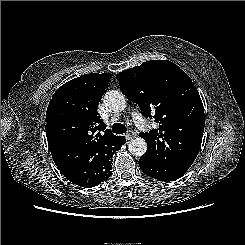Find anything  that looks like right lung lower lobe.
Masks as SVG:
<instances>
[{
	"mask_svg": "<svg viewBox=\"0 0 245 245\" xmlns=\"http://www.w3.org/2000/svg\"><path fill=\"white\" fill-rule=\"evenodd\" d=\"M125 139L122 137L121 140L114 143L110 146L100 147L95 150L94 157L92 160L91 167L97 172L98 175V181L96 183L97 186L101 182L105 181L111 176L112 173V155L114 151H118L123 144H125ZM60 170V172L71 182L74 184H77L79 186H82L81 179L79 177V173L77 169H75L73 166H57ZM93 187V186H90ZM89 187V188H90Z\"/></svg>",
	"mask_w": 245,
	"mask_h": 245,
	"instance_id": "1",
	"label": "right lung lower lobe"
}]
</instances>
